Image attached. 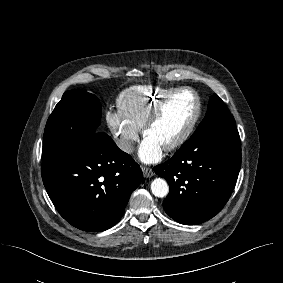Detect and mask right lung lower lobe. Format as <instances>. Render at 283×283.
<instances>
[{
  "instance_id": "1",
  "label": "right lung lower lobe",
  "mask_w": 283,
  "mask_h": 283,
  "mask_svg": "<svg viewBox=\"0 0 283 283\" xmlns=\"http://www.w3.org/2000/svg\"><path fill=\"white\" fill-rule=\"evenodd\" d=\"M41 174L60 215L74 227L92 232L107 230L120 220L142 180L140 166L103 132L43 163Z\"/></svg>"
}]
</instances>
